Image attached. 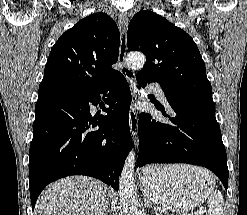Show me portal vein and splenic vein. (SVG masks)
<instances>
[{
  "label": "portal vein and splenic vein",
  "instance_id": "obj_1",
  "mask_svg": "<svg viewBox=\"0 0 247 215\" xmlns=\"http://www.w3.org/2000/svg\"><path fill=\"white\" fill-rule=\"evenodd\" d=\"M200 213H205V210H202Z\"/></svg>",
  "mask_w": 247,
  "mask_h": 215
}]
</instances>
